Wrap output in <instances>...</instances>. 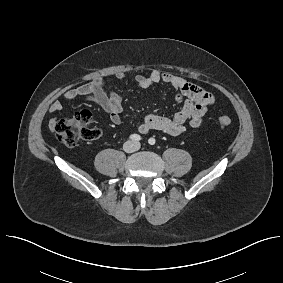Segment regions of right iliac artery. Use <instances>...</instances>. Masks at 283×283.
Listing matches in <instances>:
<instances>
[{"mask_svg": "<svg viewBox=\"0 0 283 283\" xmlns=\"http://www.w3.org/2000/svg\"><path fill=\"white\" fill-rule=\"evenodd\" d=\"M130 139L133 141H140L141 140V136L138 134H132L130 135Z\"/></svg>", "mask_w": 283, "mask_h": 283, "instance_id": "82829eb1", "label": "right iliac artery"}]
</instances>
